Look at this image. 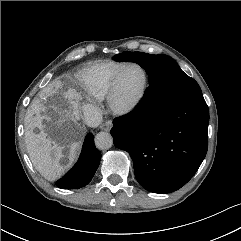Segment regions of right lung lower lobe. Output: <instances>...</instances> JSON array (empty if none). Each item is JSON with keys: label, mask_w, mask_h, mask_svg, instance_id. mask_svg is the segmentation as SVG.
Segmentation results:
<instances>
[{"label": "right lung lower lobe", "mask_w": 241, "mask_h": 241, "mask_svg": "<svg viewBox=\"0 0 241 241\" xmlns=\"http://www.w3.org/2000/svg\"><path fill=\"white\" fill-rule=\"evenodd\" d=\"M101 160V153L96 149L94 136L87 134L80 157L74 167L56 182L59 188L79 189L86 186L93 178Z\"/></svg>", "instance_id": "1"}]
</instances>
